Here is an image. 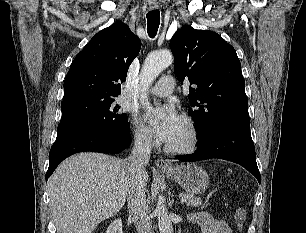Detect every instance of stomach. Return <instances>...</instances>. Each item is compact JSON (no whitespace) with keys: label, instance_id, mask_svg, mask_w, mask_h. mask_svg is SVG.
Returning a JSON list of instances; mask_svg holds the SVG:
<instances>
[{"label":"stomach","instance_id":"0dacf381","mask_svg":"<svg viewBox=\"0 0 306 233\" xmlns=\"http://www.w3.org/2000/svg\"><path fill=\"white\" fill-rule=\"evenodd\" d=\"M161 172L176 181L191 195L203 193L209 185L207 172L196 163L181 164Z\"/></svg>","mask_w":306,"mask_h":233}]
</instances>
